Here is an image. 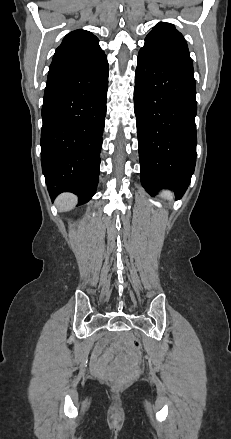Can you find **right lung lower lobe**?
<instances>
[{"instance_id":"obj_1","label":"right lung lower lobe","mask_w":231,"mask_h":439,"mask_svg":"<svg viewBox=\"0 0 231 439\" xmlns=\"http://www.w3.org/2000/svg\"><path fill=\"white\" fill-rule=\"evenodd\" d=\"M108 62L47 80L42 106L41 163L52 200L72 192L79 205L96 192L106 115Z\"/></svg>"}]
</instances>
